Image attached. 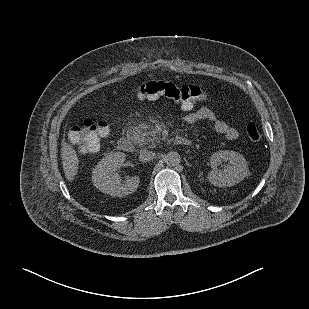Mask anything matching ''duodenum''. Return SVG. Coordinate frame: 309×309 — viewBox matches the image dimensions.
I'll return each instance as SVG.
<instances>
[{
	"label": "duodenum",
	"mask_w": 309,
	"mask_h": 309,
	"mask_svg": "<svg viewBox=\"0 0 309 309\" xmlns=\"http://www.w3.org/2000/svg\"><path fill=\"white\" fill-rule=\"evenodd\" d=\"M176 142L182 145L190 144V140L185 137H176ZM117 146L121 151L130 152L132 150L131 141L125 137L119 139Z\"/></svg>",
	"instance_id": "1"
}]
</instances>
